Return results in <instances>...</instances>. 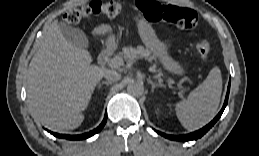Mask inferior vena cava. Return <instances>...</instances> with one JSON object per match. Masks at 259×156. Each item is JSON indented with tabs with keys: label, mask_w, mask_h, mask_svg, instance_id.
Returning a JSON list of instances; mask_svg holds the SVG:
<instances>
[{
	"label": "inferior vena cava",
	"mask_w": 259,
	"mask_h": 156,
	"mask_svg": "<svg viewBox=\"0 0 259 156\" xmlns=\"http://www.w3.org/2000/svg\"><path fill=\"white\" fill-rule=\"evenodd\" d=\"M104 78H106L108 81H117L121 78V74H119L118 72L116 71H113V70H107L104 75H103Z\"/></svg>",
	"instance_id": "1"
}]
</instances>
